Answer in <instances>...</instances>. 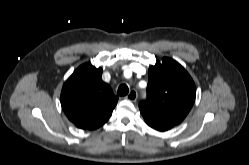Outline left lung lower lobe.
I'll return each mask as SVG.
<instances>
[{
  "instance_id": "obj_1",
  "label": "left lung lower lobe",
  "mask_w": 249,
  "mask_h": 165,
  "mask_svg": "<svg viewBox=\"0 0 249 165\" xmlns=\"http://www.w3.org/2000/svg\"><path fill=\"white\" fill-rule=\"evenodd\" d=\"M148 125L151 126L154 129H156V130H159V131H166V130L170 129V128L165 127V126H158V125H153V124H148Z\"/></svg>"
}]
</instances>
